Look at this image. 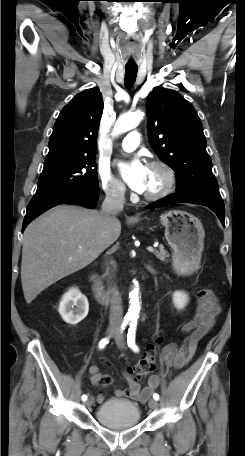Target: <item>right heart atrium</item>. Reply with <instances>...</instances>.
I'll list each match as a JSON object with an SVG mask.
<instances>
[{"mask_svg":"<svg viewBox=\"0 0 245 456\" xmlns=\"http://www.w3.org/2000/svg\"><path fill=\"white\" fill-rule=\"evenodd\" d=\"M100 185L106 196L113 200L122 201L126 198V188L124 184L114 177L106 168L98 169Z\"/></svg>","mask_w":245,"mask_h":456,"instance_id":"obj_1","label":"right heart atrium"}]
</instances>
